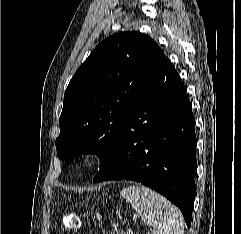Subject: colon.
Segmentation results:
<instances>
[{"label":"colon","instance_id":"1","mask_svg":"<svg viewBox=\"0 0 241 234\" xmlns=\"http://www.w3.org/2000/svg\"><path fill=\"white\" fill-rule=\"evenodd\" d=\"M80 225V219L75 215H67L62 220V226L67 231H72L78 228Z\"/></svg>","mask_w":241,"mask_h":234}]
</instances>
